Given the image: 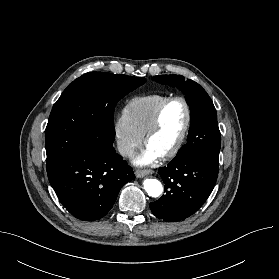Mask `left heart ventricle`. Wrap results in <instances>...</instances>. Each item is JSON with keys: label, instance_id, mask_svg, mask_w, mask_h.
<instances>
[{"label": "left heart ventricle", "instance_id": "obj_1", "mask_svg": "<svg viewBox=\"0 0 279 279\" xmlns=\"http://www.w3.org/2000/svg\"><path fill=\"white\" fill-rule=\"evenodd\" d=\"M186 121V110L182 102L174 101L165 109L161 125L150 138L148 147L162 155L178 140Z\"/></svg>", "mask_w": 279, "mask_h": 279}]
</instances>
